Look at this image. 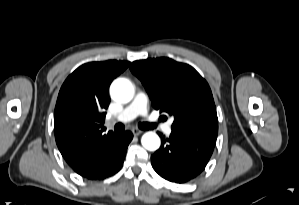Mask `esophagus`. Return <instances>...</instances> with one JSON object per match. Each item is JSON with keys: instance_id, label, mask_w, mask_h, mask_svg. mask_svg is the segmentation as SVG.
<instances>
[{"instance_id": "34e87169", "label": "esophagus", "mask_w": 299, "mask_h": 205, "mask_svg": "<svg viewBox=\"0 0 299 205\" xmlns=\"http://www.w3.org/2000/svg\"><path fill=\"white\" fill-rule=\"evenodd\" d=\"M132 133H133L134 136H138L142 133V131L139 130V129H132Z\"/></svg>"}]
</instances>
